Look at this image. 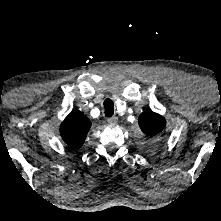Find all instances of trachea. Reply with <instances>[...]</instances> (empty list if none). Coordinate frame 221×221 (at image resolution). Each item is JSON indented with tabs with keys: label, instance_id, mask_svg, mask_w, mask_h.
<instances>
[{
	"label": "trachea",
	"instance_id": "3493384b",
	"mask_svg": "<svg viewBox=\"0 0 221 221\" xmlns=\"http://www.w3.org/2000/svg\"><path fill=\"white\" fill-rule=\"evenodd\" d=\"M105 116L106 117H112L114 114V104L111 99H106L103 103Z\"/></svg>",
	"mask_w": 221,
	"mask_h": 221
}]
</instances>
